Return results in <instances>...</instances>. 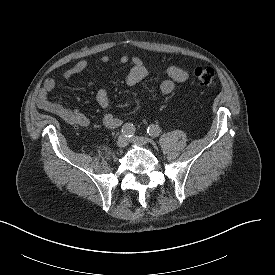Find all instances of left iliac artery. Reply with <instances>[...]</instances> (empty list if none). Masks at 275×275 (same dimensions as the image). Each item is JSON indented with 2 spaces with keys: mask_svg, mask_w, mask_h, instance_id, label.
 I'll return each mask as SVG.
<instances>
[{
  "mask_svg": "<svg viewBox=\"0 0 275 275\" xmlns=\"http://www.w3.org/2000/svg\"><path fill=\"white\" fill-rule=\"evenodd\" d=\"M147 133L151 136V137H158L161 133V129L158 125H150L147 128Z\"/></svg>",
  "mask_w": 275,
  "mask_h": 275,
  "instance_id": "obj_1",
  "label": "left iliac artery"
}]
</instances>
